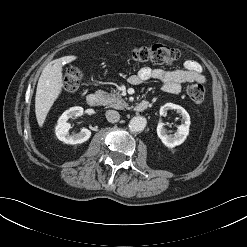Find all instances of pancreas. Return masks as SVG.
Masks as SVG:
<instances>
[{
  "label": "pancreas",
  "mask_w": 247,
  "mask_h": 247,
  "mask_svg": "<svg viewBox=\"0 0 247 247\" xmlns=\"http://www.w3.org/2000/svg\"><path fill=\"white\" fill-rule=\"evenodd\" d=\"M96 94L99 96L101 104L115 109H125L128 107L126 101L122 98L119 92L115 90L111 93L98 90Z\"/></svg>",
  "instance_id": "1"
}]
</instances>
